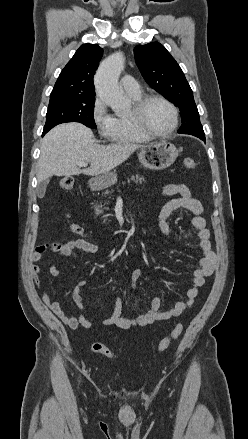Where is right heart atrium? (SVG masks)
I'll return each mask as SVG.
<instances>
[{
  "label": "right heart atrium",
  "mask_w": 248,
  "mask_h": 439,
  "mask_svg": "<svg viewBox=\"0 0 248 439\" xmlns=\"http://www.w3.org/2000/svg\"><path fill=\"white\" fill-rule=\"evenodd\" d=\"M92 119L103 138H111L115 126V117L109 112L106 103L97 97L92 107Z\"/></svg>",
  "instance_id": "obj_1"
}]
</instances>
